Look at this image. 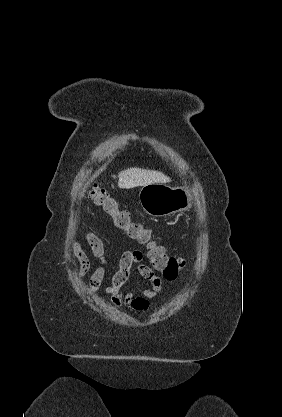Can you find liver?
I'll list each match as a JSON object with an SVG mask.
<instances>
[{"mask_svg": "<svg viewBox=\"0 0 282 417\" xmlns=\"http://www.w3.org/2000/svg\"><path fill=\"white\" fill-rule=\"evenodd\" d=\"M119 188H133V186H144L152 182H170L171 178L159 172V170H146V168H127L118 172Z\"/></svg>", "mask_w": 282, "mask_h": 417, "instance_id": "6515ba94", "label": "liver"}]
</instances>
